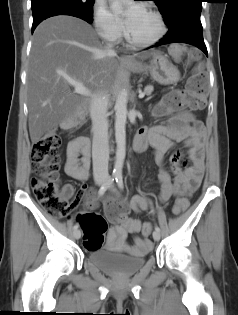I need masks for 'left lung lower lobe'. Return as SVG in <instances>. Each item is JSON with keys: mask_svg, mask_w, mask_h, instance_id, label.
Segmentation results:
<instances>
[{"mask_svg": "<svg viewBox=\"0 0 238 315\" xmlns=\"http://www.w3.org/2000/svg\"><path fill=\"white\" fill-rule=\"evenodd\" d=\"M200 14L201 12L193 11L181 15L171 26H168V33L161 41L151 47L181 42L198 47L208 56L203 40Z\"/></svg>", "mask_w": 238, "mask_h": 315, "instance_id": "obj_1", "label": "left lung lower lobe"}]
</instances>
